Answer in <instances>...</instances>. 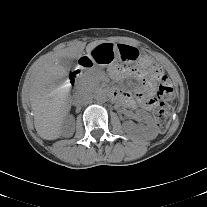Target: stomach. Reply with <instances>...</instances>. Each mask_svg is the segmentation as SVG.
<instances>
[{"label": "stomach", "mask_w": 207, "mask_h": 207, "mask_svg": "<svg viewBox=\"0 0 207 207\" xmlns=\"http://www.w3.org/2000/svg\"><path fill=\"white\" fill-rule=\"evenodd\" d=\"M95 66L113 69L119 64L142 60L143 55L134 47L125 44L103 42L86 55Z\"/></svg>", "instance_id": "stomach-1"}]
</instances>
